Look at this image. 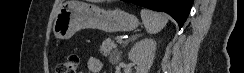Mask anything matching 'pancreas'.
<instances>
[{
  "instance_id": "1",
  "label": "pancreas",
  "mask_w": 244,
  "mask_h": 73,
  "mask_svg": "<svg viewBox=\"0 0 244 73\" xmlns=\"http://www.w3.org/2000/svg\"><path fill=\"white\" fill-rule=\"evenodd\" d=\"M115 48L116 44L112 40L106 39L103 41L99 51L104 56H111Z\"/></svg>"
}]
</instances>
